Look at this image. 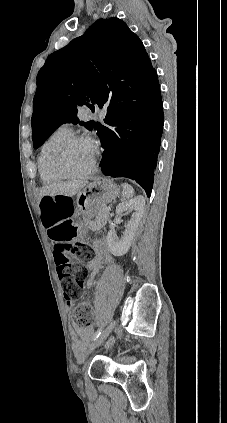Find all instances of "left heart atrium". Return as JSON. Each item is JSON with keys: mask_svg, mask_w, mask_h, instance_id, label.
<instances>
[{"mask_svg": "<svg viewBox=\"0 0 227 423\" xmlns=\"http://www.w3.org/2000/svg\"><path fill=\"white\" fill-rule=\"evenodd\" d=\"M88 145H90V147L92 148V150H93L94 152H96L97 147H98V142H97V140H96V139H91V140L89 141V144H88Z\"/></svg>", "mask_w": 227, "mask_h": 423, "instance_id": "obj_1", "label": "left heart atrium"}]
</instances>
